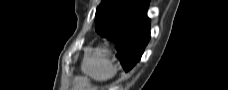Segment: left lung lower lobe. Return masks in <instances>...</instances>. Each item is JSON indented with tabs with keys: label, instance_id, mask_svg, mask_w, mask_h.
<instances>
[{
	"label": "left lung lower lobe",
	"instance_id": "1",
	"mask_svg": "<svg viewBox=\"0 0 228 90\" xmlns=\"http://www.w3.org/2000/svg\"><path fill=\"white\" fill-rule=\"evenodd\" d=\"M136 9L119 14V20L101 33L116 45V57L127 72L141 59L150 39V21L147 17L149 0H133Z\"/></svg>",
	"mask_w": 228,
	"mask_h": 90
}]
</instances>
